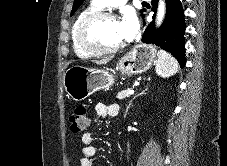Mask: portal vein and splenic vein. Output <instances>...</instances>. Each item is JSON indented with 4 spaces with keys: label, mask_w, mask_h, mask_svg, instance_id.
I'll use <instances>...</instances> for the list:
<instances>
[{
    "label": "portal vein and splenic vein",
    "mask_w": 227,
    "mask_h": 166,
    "mask_svg": "<svg viewBox=\"0 0 227 166\" xmlns=\"http://www.w3.org/2000/svg\"><path fill=\"white\" fill-rule=\"evenodd\" d=\"M133 94H134V90L131 89L128 91V95H133Z\"/></svg>",
    "instance_id": "1"
}]
</instances>
